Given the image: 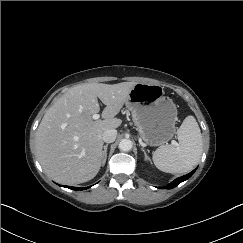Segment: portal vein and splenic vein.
<instances>
[{"label":"portal vein and splenic vein","instance_id":"1","mask_svg":"<svg viewBox=\"0 0 243 243\" xmlns=\"http://www.w3.org/2000/svg\"><path fill=\"white\" fill-rule=\"evenodd\" d=\"M92 118L94 119V120H98L99 118H100V115L99 114H94L93 116H92ZM174 144H176V142L174 141Z\"/></svg>","mask_w":243,"mask_h":243}]
</instances>
